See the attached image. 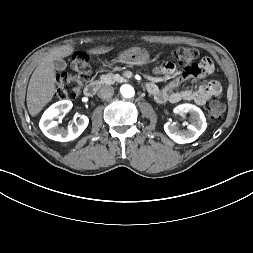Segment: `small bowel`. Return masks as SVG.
Masks as SVG:
<instances>
[{"label":"small bowel","instance_id":"obj_1","mask_svg":"<svg viewBox=\"0 0 253 253\" xmlns=\"http://www.w3.org/2000/svg\"><path fill=\"white\" fill-rule=\"evenodd\" d=\"M213 69L210 59L198 58L181 67L182 74L160 88L154 80H151L148 85V91L155 97L159 103L171 102L178 103L181 101H193L198 105H205L206 102L215 96L221 94V87L215 81H205L197 89L176 90L183 82L189 79H196L210 73ZM177 70L173 62H168L154 69L156 75L171 76Z\"/></svg>","mask_w":253,"mask_h":253}]
</instances>
